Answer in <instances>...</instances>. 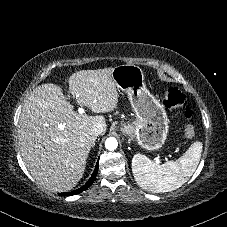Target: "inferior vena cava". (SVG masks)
<instances>
[{
	"label": "inferior vena cava",
	"instance_id": "1",
	"mask_svg": "<svg viewBox=\"0 0 227 227\" xmlns=\"http://www.w3.org/2000/svg\"><path fill=\"white\" fill-rule=\"evenodd\" d=\"M106 131V127L101 123H96L92 127V133L96 136L104 134Z\"/></svg>",
	"mask_w": 227,
	"mask_h": 227
}]
</instances>
